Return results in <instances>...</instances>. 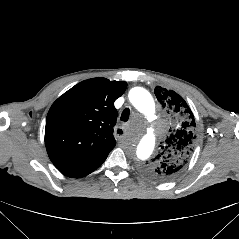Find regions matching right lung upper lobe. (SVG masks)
Listing matches in <instances>:
<instances>
[{
  "mask_svg": "<svg viewBox=\"0 0 239 239\" xmlns=\"http://www.w3.org/2000/svg\"><path fill=\"white\" fill-rule=\"evenodd\" d=\"M126 87L123 81L88 79L53 103L46 119L45 145L62 174L77 177L107 158L116 145L113 103Z\"/></svg>",
  "mask_w": 239,
  "mask_h": 239,
  "instance_id": "right-lung-upper-lobe-1",
  "label": "right lung upper lobe"
}]
</instances>
